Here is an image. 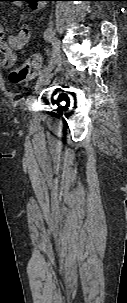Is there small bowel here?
<instances>
[{
	"label": "small bowel",
	"mask_w": 127,
	"mask_h": 303,
	"mask_svg": "<svg viewBox=\"0 0 127 303\" xmlns=\"http://www.w3.org/2000/svg\"><path fill=\"white\" fill-rule=\"evenodd\" d=\"M41 5H35L40 7ZM30 28L27 25L21 26L16 34L4 38V30L0 25V52L3 55L2 65L5 68H11L17 61L16 51L23 48L29 41Z\"/></svg>",
	"instance_id": "obj_1"
}]
</instances>
